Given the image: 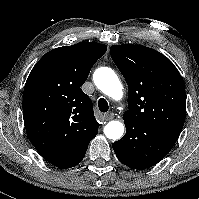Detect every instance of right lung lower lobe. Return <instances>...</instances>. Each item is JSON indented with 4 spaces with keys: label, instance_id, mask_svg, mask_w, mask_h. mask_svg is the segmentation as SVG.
<instances>
[{
    "label": "right lung lower lobe",
    "instance_id": "1",
    "mask_svg": "<svg viewBox=\"0 0 199 199\" xmlns=\"http://www.w3.org/2000/svg\"><path fill=\"white\" fill-rule=\"evenodd\" d=\"M84 156H85V154H84ZM84 156H82V158L80 159V161H79L78 163H80V162L82 161V159L84 158ZM78 163H77V164H78ZM77 164H76V165H77Z\"/></svg>",
    "mask_w": 199,
    "mask_h": 199
}]
</instances>
